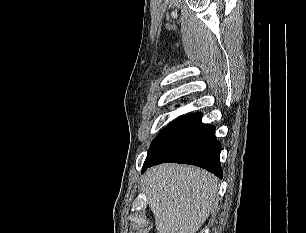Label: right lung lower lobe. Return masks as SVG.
<instances>
[{"label": "right lung lower lobe", "mask_w": 306, "mask_h": 233, "mask_svg": "<svg viewBox=\"0 0 306 233\" xmlns=\"http://www.w3.org/2000/svg\"><path fill=\"white\" fill-rule=\"evenodd\" d=\"M220 152L215 127L203 124L200 115L154 159L144 163L142 172L160 163L176 162L202 167L222 178Z\"/></svg>", "instance_id": "right-lung-lower-lobe-1"}]
</instances>
